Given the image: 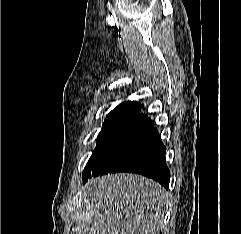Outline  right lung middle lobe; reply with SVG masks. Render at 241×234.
Listing matches in <instances>:
<instances>
[{"label": "right lung middle lobe", "mask_w": 241, "mask_h": 234, "mask_svg": "<svg viewBox=\"0 0 241 234\" xmlns=\"http://www.w3.org/2000/svg\"><path fill=\"white\" fill-rule=\"evenodd\" d=\"M138 106L135 105H119L114 110H112L109 115L106 117L103 129L99 133L96 143V149L104 142V140L116 130V128L125 120L127 119L136 109ZM94 154V153H93Z\"/></svg>", "instance_id": "right-lung-middle-lobe-1"}]
</instances>
